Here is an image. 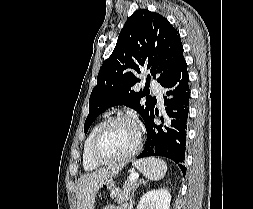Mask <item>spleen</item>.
Masks as SVG:
<instances>
[{"instance_id": "1", "label": "spleen", "mask_w": 253, "mask_h": 209, "mask_svg": "<svg viewBox=\"0 0 253 209\" xmlns=\"http://www.w3.org/2000/svg\"><path fill=\"white\" fill-rule=\"evenodd\" d=\"M134 166L146 178L154 181L161 180L167 172L166 163L163 160L154 157L136 161Z\"/></svg>"}]
</instances>
